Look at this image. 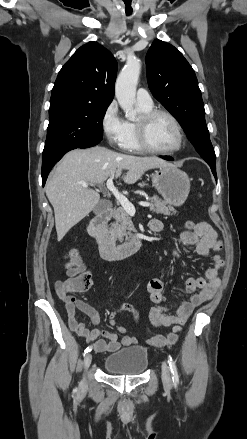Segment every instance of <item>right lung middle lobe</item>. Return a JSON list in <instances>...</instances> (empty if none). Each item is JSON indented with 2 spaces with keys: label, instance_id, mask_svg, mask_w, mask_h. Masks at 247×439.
<instances>
[{
  "label": "right lung middle lobe",
  "instance_id": "right-lung-middle-lobe-1",
  "mask_svg": "<svg viewBox=\"0 0 247 439\" xmlns=\"http://www.w3.org/2000/svg\"><path fill=\"white\" fill-rule=\"evenodd\" d=\"M108 106L74 102L50 105L42 160L70 149L97 145L102 140Z\"/></svg>",
  "mask_w": 247,
  "mask_h": 439
}]
</instances>
